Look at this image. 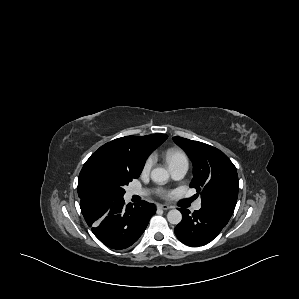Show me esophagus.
Wrapping results in <instances>:
<instances>
[{
    "instance_id": "obj_1",
    "label": "esophagus",
    "mask_w": 299,
    "mask_h": 299,
    "mask_svg": "<svg viewBox=\"0 0 299 299\" xmlns=\"http://www.w3.org/2000/svg\"><path fill=\"white\" fill-rule=\"evenodd\" d=\"M157 207L160 208V209H162V210H169V209H171V206H169L167 204H158Z\"/></svg>"
}]
</instances>
